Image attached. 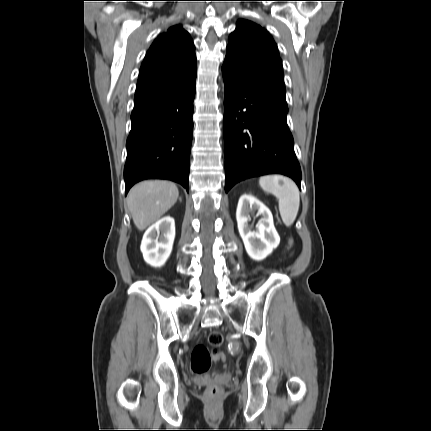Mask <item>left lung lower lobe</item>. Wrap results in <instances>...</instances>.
I'll return each instance as SVG.
<instances>
[{
  "mask_svg": "<svg viewBox=\"0 0 431 431\" xmlns=\"http://www.w3.org/2000/svg\"><path fill=\"white\" fill-rule=\"evenodd\" d=\"M223 76L225 191L242 180L273 173L292 178L300 188L287 103L224 72Z\"/></svg>",
  "mask_w": 431,
  "mask_h": 431,
  "instance_id": "1",
  "label": "left lung lower lobe"
}]
</instances>
